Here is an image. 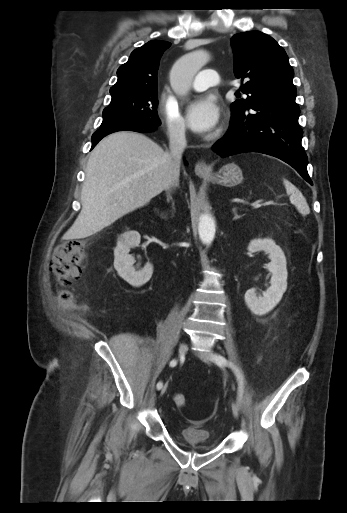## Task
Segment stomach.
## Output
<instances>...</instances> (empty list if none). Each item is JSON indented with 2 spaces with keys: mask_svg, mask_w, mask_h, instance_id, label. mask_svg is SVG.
Wrapping results in <instances>:
<instances>
[{
  "mask_svg": "<svg viewBox=\"0 0 347 513\" xmlns=\"http://www.w3.org/2000/svg\"><path fill=\"white\" fill-rule=\"evenodd\" d=\"M208 179L213 183L232 187L243 181L241 168L235 163L224 165L215 175L209 176Z\"/></svg>",
  "mask_w": 347,
  "mask_h": 513,
  "instance_id": "stomach-1",
  "label": "stomach"
}]
</instances>
